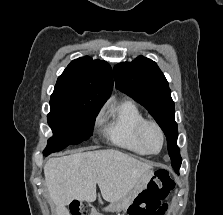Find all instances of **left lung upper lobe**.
I'll return each instance as SVG.
<instances>
[{
  "instance_id": "5c2ea615",
  "label": "left lung upper lobe",
  "mask_w": 223,
  "mask_h": 215,
  "mask_svg": "<svg viewBox=\"0 0 223 215\" xmlns=\"http://www.w3.org/2000/svg\"><path fill=\"white\" fill-rule=\"evenodd\" d=\"M116 86L142 104L153 116L167 138L171 165L180 168L182 159L176 145L178 130L174 102L168 82L157 64L143 56L114 67Z\"/></svg>"
}]
</instances>
